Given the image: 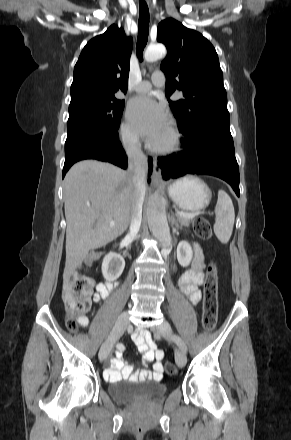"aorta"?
<instances>
[{"label": "aorta", "mask_w": 291, "mask_h": 440, "mask_svg": "<svg viewBox=\"0 0 291 440\" xmlns=\"http://www.w3.org/2000/svg\"><path fill=\"white\" fill-rule=\"evenodd\" d=\"M166 54V49L163 45H150L144 53V59L147 62H155ZM147 219L149 229L152 234L158 239L163 247H168L171 244L172 238L170 228L168 225L165 207L152 203L147 209Z\"/></svg>", "instance_id": "762f6f07"}]
</instances>
